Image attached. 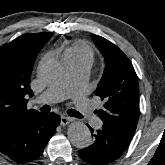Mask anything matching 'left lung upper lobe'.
I'll use <instances>...</instances> for the list:
<instances>
[{
    "instance_id": "left-lung-upper-lobe-1",
    "label": "left lung upper lobe",
    "mask_w": 165,
    "mask_h": 165,
    "mask_svg": "<svg viewBox=\"0 0 165 165\" xmlns=\"http://www.w3.org/2000/svg\"><path fill=\"white\" fill-rule=\"evenodd\" d=\"M105 58V70L95 94L104 101L98 112L103 124L133 136L139 110L137 75L127 56L107 39L91 35Z\"/></svg>"
}]
</instances>
